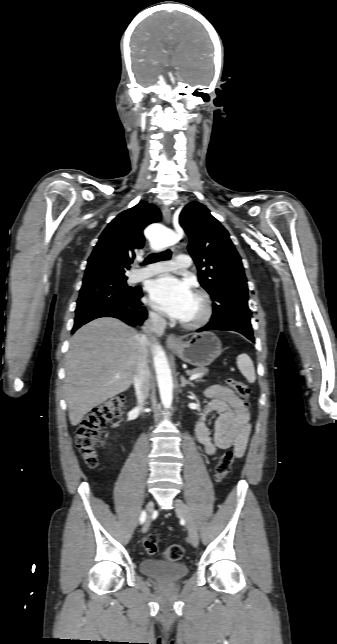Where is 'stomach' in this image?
Wrapping results in <instances>:
<instances>
[{"label": "stomach", "instance_id": "obj_1", "mask_svg": "<svg viewBox=\"0 0 337 644\" xmlns=\"http://www.w3.org/2000/svg\"><path fill=\"white\" fill-rule=\"evenodd\" d=\"M170 348L181 360L201 369L210 365L223 351L221 341L211 332L194 334L189 341Z\"/></svg>", "mask_w": 337, "mask_h": 644}]
</instances>
